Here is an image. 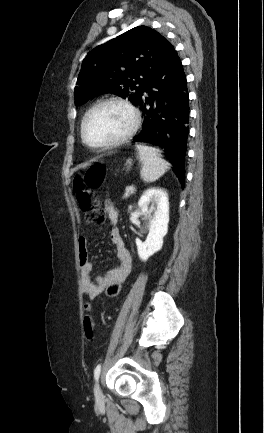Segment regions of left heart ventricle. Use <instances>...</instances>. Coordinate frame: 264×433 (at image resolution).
I'll list each match as a JSON object with an SVG mask.
<instances>
[{"label":"left heart ventricle","mask_w":264,"mask_h":433,"mask_svg":"<svg viewBox=\"0 0 264 433\" xmlns=\"http://www.w3.org/2000/svg\"><path fill=\"white\" fill-rule=\"evenodd\" d=\"M130 124L131 115L124 107L109 104L98 108L89 117L85 133L91 143L100 144L121 136Z\"/></svg>","instance_id":"b2bd125f"}]
</instances>
